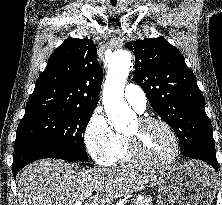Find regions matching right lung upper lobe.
I'll return each mask as SVG.
<instances>
[{
    "label": "right lung upper lobe",
    "instance_id": "obj_1",
    "mask_svg": "<svg viewBox=\"0 0 222 205\" xmlns=\"http://www.w3.org/2000/svg\"><path fill=\"white\" fill-rule=\"evenodd\" d=\"M102 79L93 41L67 38L53 52L37 79L25 114L58 108L94 109Z\"/></svg>",
    "mask_w": 222,
    "mask_h": 205
}]
</instances>
